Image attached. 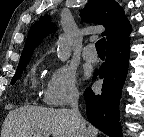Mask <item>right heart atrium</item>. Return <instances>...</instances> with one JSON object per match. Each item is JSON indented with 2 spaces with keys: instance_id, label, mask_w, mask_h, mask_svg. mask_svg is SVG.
<instances>
[{
  "instance_id": "d8ad5b80",
  "label": "right heart atrium",
  "mask_w": 144,
  "mask_h": 137,
  "mask_svg": "<svg viewBox=\"0 0 144 137\" xmlns=\"http://www.w3.org/2000/svg\"><path fill=\"white\" fill-rule=\"evenodd\" d=\"M78 97L75 70L66 65H58L50 72L43 90V101L50 106H63Z\"/></svg>"
}]
</instances>
